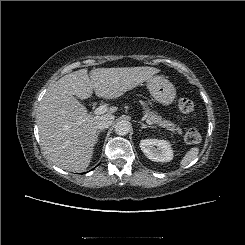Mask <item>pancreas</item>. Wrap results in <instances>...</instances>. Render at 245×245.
<instances>
[{
  "instance_id": "1",
  "label": "pancreas",
  "mask_w": 245,
  "mask_h": 245,
  "mask_svg": "<svg viewBox=\"0 0 245 245\" xmlns=\"http://www.w3.org/2000/svg\"><path fill=\"white\" fill-rule=\"evenodd\" d=\"M143 113L145 117L152 121L154 124H157L171 132L182 134V129L179 126L169 120H164L161 116L156 115L154 112L150 111L146 105H144Z\"/></svg>"
}]
</instances>
